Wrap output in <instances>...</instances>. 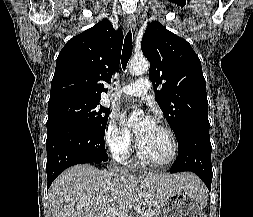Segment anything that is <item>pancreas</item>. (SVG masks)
<instances>
[{
  "mask_svg": "<svg viewBox=\"0 0 253 217\" xmlns=\"http://www.w3.org/2000/svg\"><path fill=\"white\" fill-rule=\"evenodd\" d=\"M149 217H158L155 211L148 212Z\"/></svg>",
  "mask_w": 253,
  "mask_h": 217,
  "instance_id": "1",
  "label": "pancreas"
}]
</instances>
